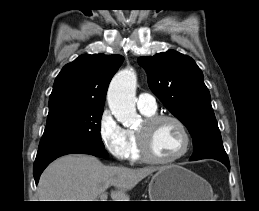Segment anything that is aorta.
Segmentation results:
<instances>
[{"label": "aorta", "mask_w": 259, "mask_h": 211, "mask_svg": "<svg viewBox=\"0 0 259 211\" xmlns=\"http://www.w3.org/2000/svg\"><path fill=\"white\" fill-rule=\"evenodd\" d=\"M136 83L135 71L125 69L118 72L109 85L107 93L109 108L125 127H132L138 121L135 104Z\"/></svg>", "instance_id": "aorta-1"}]
</instances>
